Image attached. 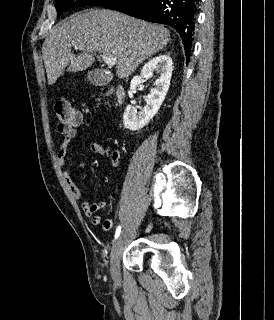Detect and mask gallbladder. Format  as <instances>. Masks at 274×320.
Masks as SVG:
<instances>
[{"mask_svg": "<svg viewBox=\"0 0 274 320\" xmlns=\"http://www.w3.org/2000/svg\"><path fill=\"white\" fill-rule=\"evenodd\" d=\"M115 72H105L104 68H89L87 80L90 84L106 85L110 79H115Z\"/></svg>", "mask_w": 274, "mask_h": 320, "instance_id": "gallbladder-1", "label": "gallbladder"}]
</instances>
